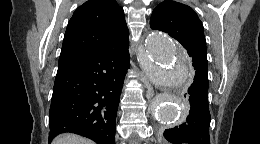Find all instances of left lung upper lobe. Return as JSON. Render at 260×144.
<instances>
[{
    "label": "left lung upper lobe",
    "mask_w": 260,
    "mask_h": 144,
    "mask_svg": "<svg viewBox=\"0 0 260 144\" xmlns=\"http://www.w3.org/2000/svg\"><path fill=\"white\" fill-rule=\"evenodd\" d=\"M150 26L168 33L188 53L207 59L203 25L191 7L176 1H163L153 10Z\"/></svg>",
    "instance_id": "left-lung-upper-lobe-1"
}]
</instances>
